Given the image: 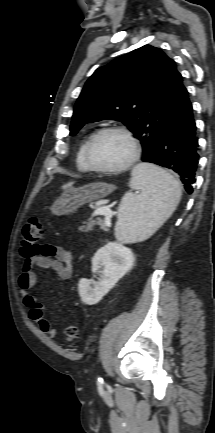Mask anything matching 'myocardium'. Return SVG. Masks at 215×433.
<instances>
[{
  "instance_id": "obj_1",
  "label": "myocardium",
  "mask_w": 215,
  "mask_h": 433,
  "mask_svg": "<svg viewBox=\"0 0 215 433\" xmlns=\"http://www.w3.org/2000/svg\"><path fill=\"white\" fill-rule=\"evenodd\" d=\"M108 133L121 134L122 136H124L128 140V142L130 143V146H131V154H130V157L127 159V161L125 163H123L122 165H120L118 167H114V168L99 167V166L94 164V162L91 158V150H92L94 143L101 136L108 134ZM139 156H140V145H139L137 138L129 129L122 127V126H109V127H105V128H102V129L96 131L91 136V138L89 139V141L87 142L86 147H85V160H86L88 166L90 167V169L92 171H96V172H100V173H107V174L123 173V172L127 171L128 169H130L138 161Z\"/></svg>"
}]
</instances>
